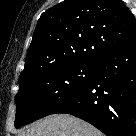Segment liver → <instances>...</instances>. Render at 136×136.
<instances>
[{"mask_svg": "<svg viewBox=\"0 0 136 136\" xmlns=\"http://www.w3.org/2000/svg\"><path fill=\"white\" fill-rule=\"evenodd\" d=\"M19 136H102L90 124L70 115H50L26 127Z\"/></svg>", "mask_w": 136, "mask_h": 136, "instance_id": "6515ba94", "label": "liver"}]
</instances>
